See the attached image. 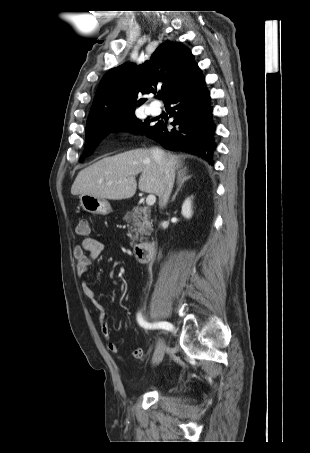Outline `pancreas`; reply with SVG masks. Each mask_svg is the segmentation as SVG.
Returning <instances> with one entry per match:
<instances>
[{
	"label": "pancreas",
	"instance_id": "obj_1",
	"mask_svg": "<svg viewBox=\"0 0 310 453\" xmlns=\"http://www.w3.org/2000/svg\"><path fill=\"white\" fill-rule=\"evenodd\" d=\"M123 220L128 223V228L134 235L130 234L131 240L137 241L140 235H150L152 222L150 221V211L146 207H136L131 212H127Z\"/></svg>",
	"mask_w": 310,
	"mask_h": 453
}]
</instances>
